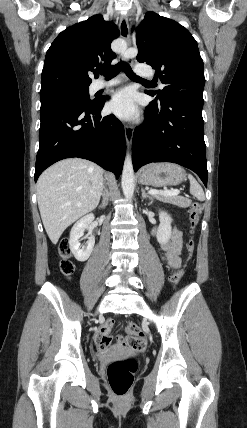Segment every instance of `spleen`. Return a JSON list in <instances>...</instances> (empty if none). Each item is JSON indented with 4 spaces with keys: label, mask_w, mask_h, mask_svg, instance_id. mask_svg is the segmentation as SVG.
I'll use <instances>...</instances> for the list:
<instances>
[{
    "label": "spleen",
    "mask_w": 247,
    "mask_h": 428,
    "mask_svg": "<svg viewBox=\"0 0 247 428\" xmlns=\"http://www.w3.org/2000/svg\"><path fill=\"white\" fill-rule=\"evenodd\" d=\"M190 181V193L196 197L199 201L205 200V195L202 187L199 185V183L196 181V179L192 176H188Z\"/></svg>",
    "instance_id": "1"
}]
</instances>
